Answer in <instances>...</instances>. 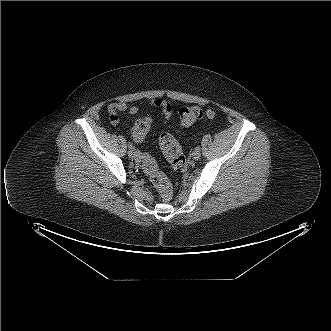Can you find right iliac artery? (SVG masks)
Segmentation results:
<instances>
[{
  "instance_id": "obj_1",
  "label": "right iliac artery",
  "mask_w": 331,
  "mask_h": 331,
  "mask_svg": "<svg viewBox=\"0 0 331 331\" xmlns=\"http://www.w3.org/2000/svg\"><path fill=\"white\" fill-rule=\"evenodd\" d=\"M128 147L133 148V144L131 142H128Z\"/></svg>"
}]
</instances>
